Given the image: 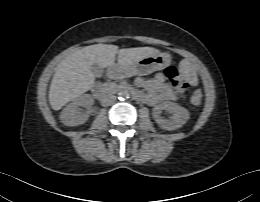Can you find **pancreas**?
<instances>
[{"instance_id":"cf45deb5","label":"pancreas","mask_w":260,"mask_h":202,"mask_svg":"<svg viewBox=\"0 0 260 202\" xmlns=\"http://www.w3.org/2000/svg\"><path fill=\"white\" fill-rule=\"evenodd\" d=\"M103 86H104V90L110 91V90L115 89L116 84L115 83H105Z\"/></svg>"}]
</instances>
